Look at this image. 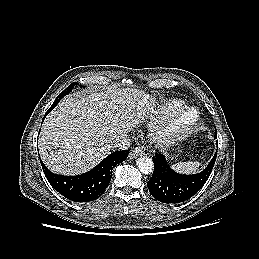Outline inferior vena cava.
<instances>
[{
    "label": "inferior vena cava",
    "mask_w": 259,
    "mask_h": 259,
    "mask_svg": "<svg viewBox=\"0 0 259 259\" xmlns=\"http://www.w3.org/2000/svg\"><path fill=\"white\" fill-rule=\"evenodd\" d=\"M130 145V139L123 136L114 142L113 147L120 150H127L130 147Z\"/></svg>",
    "instance_id": "602c4592"
}]
</instances>
